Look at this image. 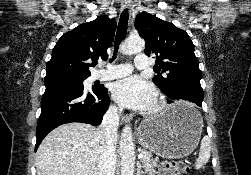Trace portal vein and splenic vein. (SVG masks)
<instances>
[{
	"mask_svg": "<svg viewBox=\"0 0 251 175\" xmlns=\"http://www.w3.org/2000/svg\"><path fill=\"white\" fill-rule=\"evenodd\" d=\"M138 159L139 160H144L145 159V156L143 155V153H139ZM84 175H88V173H84Z\"/></svg>",
	"mask_w": 251,
	"mask_h": 175,
	"instance_id": "1",
	"label": "portal vein and splenic vein"
}]
</instances>
